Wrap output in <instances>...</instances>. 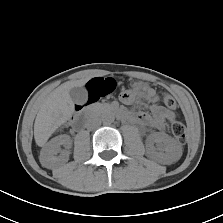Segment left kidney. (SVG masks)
Instances as JSON below:
<instances>
[{
	"instance_id": "1",
	"label": "left kidney",
	"mask_w": 223,
	"mask_h": 223,
	"mask_svg": "<svg viewBox=\"0 0 223 223\" xmlns=\"http://www.w3.org/2000/svg\"><path fill=\"white\" fill-rule=\"evenodd\" d=\"M147 154L158 162L172 164L181 157L182 148L167 134L154 133L148 138Z\"/></svg>"
}]
</instances>
